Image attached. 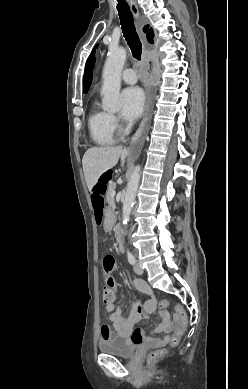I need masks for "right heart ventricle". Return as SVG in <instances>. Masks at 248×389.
Returning a JSON list of instances; mask_svg holds the SVG:
<instances>
[{
  "label": "right heart ventricle",
  "mask_w": 248,
  "mask_h": 389,
  "mask_svg": "<svg viewBox=\"0 0 248 389\" xmlns=\"http://www.w3.org/2000/svg\"><path fill=\"white\" fill-rule=\"evenodd\" d=\"M88 130L92 141L100 146L115 142V128L111 114L94 104L88 118Z\"/></svg>",
  "instance_id": "e07e8e85"
}]
</instances>
